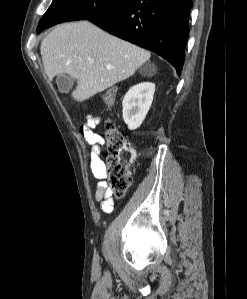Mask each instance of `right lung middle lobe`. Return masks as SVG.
Segmentation results:
<instances>
[{
	"instance_id": "dd1d6c3e",
	"label": "right lung middle lobe",
	"mask_w": 247,
	"mask_h": 299,
	"mask_svg": "<svg viewBox=\"0 0 247 299\" xmlns=\"http://www.w3.org/2000/svg\"><path fill=\"white\" fill-rule=\"evenodd\" d=\"M128 0H53L52 4L39 22L37 32L55 24L73 21L90 20L107 14Z\"/></svg>"
}]
</instances>
